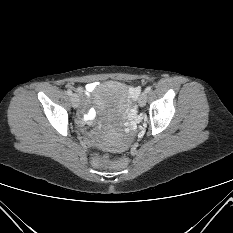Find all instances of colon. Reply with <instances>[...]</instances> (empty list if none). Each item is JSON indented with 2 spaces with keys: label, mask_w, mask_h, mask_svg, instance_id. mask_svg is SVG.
Returning <instances> with one entry per match:
<instances>
[{
  "label": "colon",
  "mask_w": 233,
  "mask_h": 233,
  "mask_svg": "<svg viewBox=\"0 0 233 233\" xmlns=\"http://www.w3.org/2000/svg\"><path fill=\"white\" fill-rule=\"evenodd\" d=\"M96 166H103L107 163H110V159L108 155H96L93 160Z\"/></svg>",
  "instance_id": "1"
}]
</instances>
